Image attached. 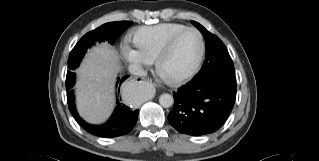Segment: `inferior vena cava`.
Masks as SVG:
<instances>
[{
    "label": "inferior vena cava",
    "instance_id": "602c4592",
    "mask_svg": "<svg viewBox=\"0 0 319 161\" xmlns=\"http://www.w3.org/2000/svg\"><path fill=\"white\" fill-rule=\"evenodd\" d=\"M128 69H129V72L133 75H137V76H145L146 75V72L139 65L131 64V65H129Z\"/></svg>",
    "mask_w": 319,
    "mask_h": 161
}]
</instances>
